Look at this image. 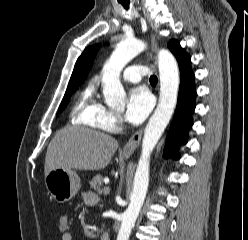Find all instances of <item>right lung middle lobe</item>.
Returning a JSON list of instances; mask_svg holds the SVG:
<instances>
[{
    "label": "right lung middle lobe",
    "mask_w": 248,
    "mask_h": 240,
    "mask_svg": "<svg viewBox=\"0 0 248 240\" xmlns=\"http://www.w3.org/2000/svg\"><path fill=\"white\" fill-rule=\"evenodd\" d=\"M81 84V81H76V80H72L69 81L67 90L65 92L64 98L62 100V103L58 109V112H62L64 110V108L66 107L70 97L72 96L73 92L78 88V86Z\"/></svg>",
    "instance_id": "dd1d6c3e"
}]
</instances>
